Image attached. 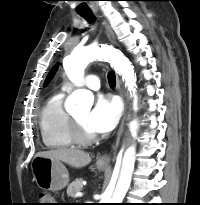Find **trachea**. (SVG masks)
<instances>
[{"instance_id": "obj_1", "label": "trachea", "mask_w": 200, "mask_h": 205, "mask_svg": "<svg viewBox=\"0 0 200 205\" xmlns=\"http://www.w3.org/2000/svg\"><path fill=\"white\" fill-rule=\"evenodd\" d=\"M82 17H84L87 21H92L93 20V15L92 13H83L81 14ZM108 82L110 86L114 87L116 85V76L114 72H110L108 74Z\"/></svg>"}]
</instances>
